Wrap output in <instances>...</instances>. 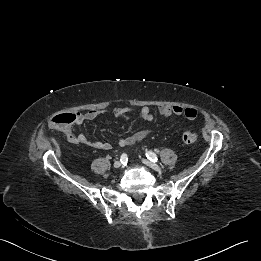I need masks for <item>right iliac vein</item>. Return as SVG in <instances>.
I'll return each instance as SVG.
<instances>
[{"label": "right iliac vein", "mask_w": 261, "mask_h": 261, "mask_svg": "<svg viewBox=\"0 0 261 261\" xmlns=\"http://www.w3.org/2000/svg\"><path fill=\"white\" fill-rule=\"evenodd\" d=\"M122 166V163L120 161H115L114 162V167L115 168H120Z\"/></svg>", "instance_id": "1"}]
</instances>
